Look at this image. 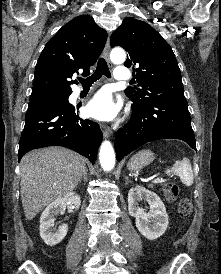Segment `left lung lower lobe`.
<instances>
[{
    "mask_svg": "<svg viewBox=\"0 0 221 274\" xmlns=\"http://www.w3.org/2000/svg\"><path fill=\"white\" fill-rule=\"evenodd\" d=\"M134 103V102H133ZM132 117L116 133L117 160L147 142L163 138L180 139L196 150L186 99L132 105Z\"/></svg>",
    "mask_w": 221,
    "mask_h": 274,
    "instance_id": "left-lung-lower-lobe-1",
    "label": "left lung lower lobe"
}]
</instances>
